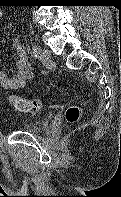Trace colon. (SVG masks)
Here are the masks:
<instances>
[{
	"mask_svg": "<svg viewBox=\"0 0 121 197\" xmlns=\"http://www.w3.org/2000/svg\"><path fill=\"white\" fill-rule=\"evenodd\" d=\"M10 103L13 107L22 112H39L42 108V102L40 99L27 100L17 96L9 97ZM81 116V109L78 106H70L65 112V118L67 122L73 124L76 123Z\"/></svg>",
	"mask_w": 121,
	"mask_h": 197,
	"instance_id": "5ec220e1",
	"label": "colon"
}]
</instances>
